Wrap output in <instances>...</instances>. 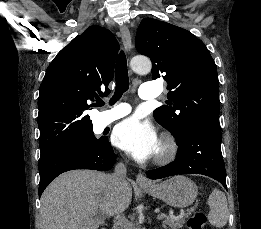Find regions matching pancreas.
Listing matches in <instances>:
<instances>
[{
	"label": "pancreas",
	"instance_id": "obj_1",
	"mask_svg": "<svg viewBox=\"0 0 261 229\" xmlns=\"http://www.w3.org/2000/svg\"><path fill=\"white\" fill-rule=\"evenodd\" d=\"M192 209H188L187 213H181L182 219H171V217H164L161 219L164 229H182L185 225L186 219L191 215Z\"/></svg>",
	"mask_w": 261,
	"mask_h": 229
}]
</instances>
